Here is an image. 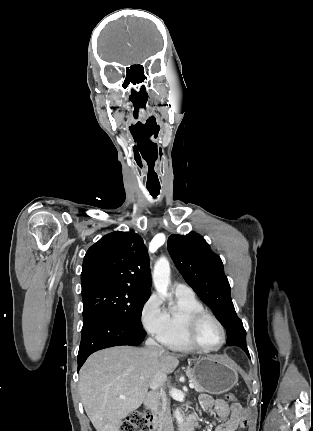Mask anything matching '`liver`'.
I'll return each mask as SVG.
<instances>
[{
	"label": "liver",
	"instance_id": "6515ba94",
	"mask_svg": "<svg viewBox=\"0 0 313 431\" xmlns=\"http://www.w3.org/2000/svg\"><path fill=\"white\" fill-rule=\"evenodd\" d=\"M179 357L164 349L129 346L92 354L80 370L78 386L96 431H120L122 420L144 402L155 373H172Z\"/></svg>",
	"mask_w": 313,
	"mask_h": 431
}]
</instances>
